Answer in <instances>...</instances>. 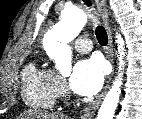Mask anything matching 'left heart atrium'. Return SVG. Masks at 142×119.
Segmentation results:
<instances>
[{"label":"left heart atrium","mask_w":142,"mask_h":119,"mask_svg":"<svg viewBox=\"0 0 142 119\" xmlns=\"http://www.w3.org/2000/svg\"><path fill=\"white\" fill-rule=\"evenodd\" d=\"M104 82V65L98 58L79 61L70 77L71 89L82 96L97 93Z\"/></svg>","instance_id":"1"}]
</instances>
